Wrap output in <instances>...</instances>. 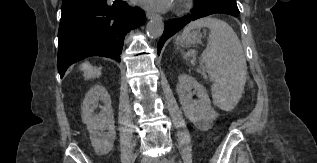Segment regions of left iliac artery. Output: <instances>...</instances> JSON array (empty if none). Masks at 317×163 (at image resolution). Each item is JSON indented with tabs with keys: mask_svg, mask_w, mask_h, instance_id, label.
I'll list each match as a JSON object with an SVG mask.
<instances>
[{
	"mask_svg": "<svg viewBox=\"0 0 317 163\" xmlns=\"http://www.w3.org/2000/svg\"><path fill=\"white\" fill-rule=\"evenodd\" d=\"M162 162H163V163H168V160L164 159Z\"/></svg>",
	"mask_w": 317,
	"mask_h": 163,
	"instance_id": "obj_1",
	"label": "left iliac artery"
}]
</instances>
